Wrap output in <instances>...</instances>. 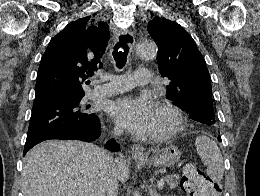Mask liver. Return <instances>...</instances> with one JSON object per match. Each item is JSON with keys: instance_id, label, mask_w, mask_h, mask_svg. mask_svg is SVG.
Returning a JSON list of instances; mask_svg holds the SVG:
<instances>
[{"instance_id": "1", "label": "liver", "mask_w": 260, "mask_h": 196, "mask_svg": "<svg viewBox=\"0 0 260 196\" xmlns=\"http://www.w3.org/2000/svg\"><path fill=\"white\" fill-rule=\"evenodd\" d=\"M107 150L78 140H46L26 154L22 170L24 196H105ZM119 182H127L129 166L118 158Z\"/></svg>"}]
</instances>
